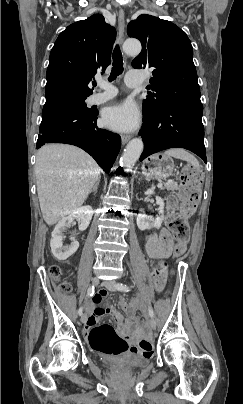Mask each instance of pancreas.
<instances>
[{"label": "pancreas", "mask_w": 243, "mask_h": 404, "mask_svg": "<svg viewBox=\"0 0 243 404\" xmlns=\"http://www.w3.org/2000/svg\"><path fill=\"white\" fill-rule=\"evenodd\" d=\"M161 190H178V184L177 182H168Z\"/></svg>", "instance_id": "cf45deb5"}]
</instances>
